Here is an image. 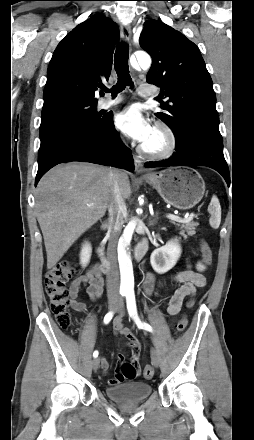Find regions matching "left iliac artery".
<instances>
[{
  "instance_id": "left-iliac-artery-1",
  "label": "left iliac artery",
  "mask_w": 254,
  "mask_h": 440,
  "mask_svg": "<svg viewBox=\"0 0 254 440\" xmlns=\"http://www.w3.org/2000/svg\"><path fill=\"white\" fill-rule=\"evenodd\" d=\"M126 303H127V309L129 315L133 318L137 326L141 329L152 332L153 331L152 327L145 322H141V320L138 317L134 292L130 291L126 293Z\"/></svg>"
}]
</instances>
